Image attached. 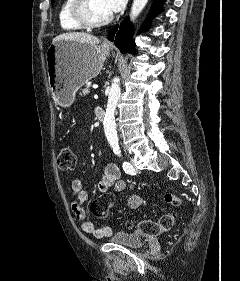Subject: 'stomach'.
Returning <instances> with one entry per match:
<instances>
[{"instance_id": "stomach-1", "label": "stomach", "mask_w": 240, "mask_h": 281, "mask_svg": "<svg viewBox=\"0 0 240 281\" xmlns=\"http://www.w3.org/2000/svg\"><path fill=\"white\" fill-rule=\"evenodd\" d=\"M113 47L76 40L53 42L46 53L48 82L55 101L71 105L80 87L97 76Z\"/></svg>"}]
</instances>
